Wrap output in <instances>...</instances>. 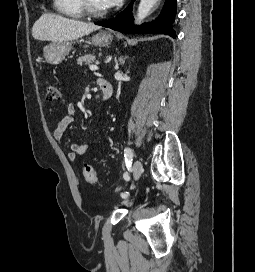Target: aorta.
I'll return each mask as SVG.
<instances>
[{
	"label": "aorta",
	"mask_w": 255,
	"mask_h": 272,
	"mask_svg": "<svg viewBox=\"0 0 255 272\" xmlns=\"http://www.w3.org/2000/svg\"><path fill=\"white\" fill-rule=\"evenodd\" d=\"M158 2L159 0H141L137 9L136 22L143 21Z\"/></svg>",
	"instance_id": "1"
}]
</instances>
